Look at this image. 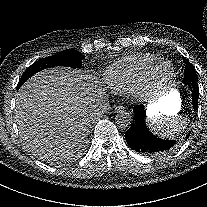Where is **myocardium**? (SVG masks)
I'll return each instance as SVG.
<instances>
[{
  "instance_id": "obj_1",
  "label": "myocardium",
  "mask_w": 207,
  "mask_h": 207,
  "mask_svg": "<svg viewBox=\"0 0 207 207\" xmlns=\"http://www.w3.org/2000/svg\"><path fill=\"white\" fill-rule=\"evenodd\" d=\"M170 65L171 72L168 77L161 83H158L154 79V75L163 65ZM175 77V67L174 64L169 60H160L157 62L147 73L146 83L143 88V93L141 96H145L146 100H151L162 95L172 84Z\"/></svg>"
}]
</instances>
